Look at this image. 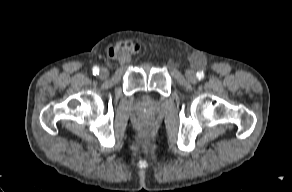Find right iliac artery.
Masks as SVG:
<instances>
[{
  "mask_svg": "<svg viewBox=\"0 0 292 192\" xmlns=\"http://www.w3.org/2000/svg\"><path fill=\"white\" fill-rule=\"evenodd\" d=\"M93 74L94 75L99 74V68L97 66L93 67Z\"/></svg>",
  "mask_w": 292,
  "mask_h": 192,
  "instance_id": "obj_1",
  "label": "right iliac artery"
}]
</instances>
